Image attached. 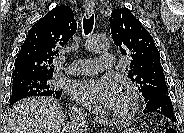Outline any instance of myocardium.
<instances>
[{"mask_svg": "<svg viewBox=\"0 0 184 133\" xmlns=\"http://www.w3.org/2000/svg\"><path fill=\"white\" fill-rule=\"evenodd\" d=\"M121 106L114 112L113 117L118 121L129 119L136 112L138 107L137 97L132 88L128 87L120 94Z\"/></svg>", "mask_w": 184, "mask_h": 133, "instance_id": "myocardium-1", "label": "myocardium"}]
</instances>
